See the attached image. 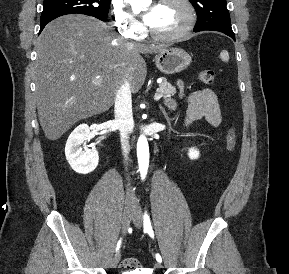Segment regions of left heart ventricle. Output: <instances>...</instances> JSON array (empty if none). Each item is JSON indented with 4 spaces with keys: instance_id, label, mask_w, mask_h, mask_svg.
Segmentation results:
<instances>
[{
    "instance_id": "obj_1",
    "label": "left heart ventricle",
    "mask_w": 289,
    "mask_h": 274,
    "mask_svg": "<svg viewBox=\"0 0 289 274\" xmlns=\"http://www.w3.org/2000/svg\"><path fill=\"white\" fill-rule=\"evenodd\" d=\"M153 6L147 8L150 10ZM186 22L184 6L172 0L167 3L154 5L153 20L150 27L156 32L169 34L178 31Z\"/></svg>"
}]
</instances>
